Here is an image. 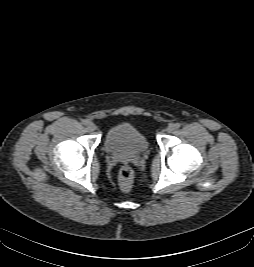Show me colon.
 I'll list each match as a JSON object with an SVG mask.
<instances>
[{
	"label": "colon",
	"mask_w": 254,
	"mask_h": 267,
	"mask_svg": "<svg viewBox=\"0 0 254 267\" xmlns=\"http://www.w3.org/2000/svg\"><path fill=\"white\" fill-rule=\"evenodd\" d=\"M134 173L131 167L125 165L119 172V186L122 191H129L133 184Z\"/></svg>",
	"instance_id": "colon-1"
}]
</instances>
